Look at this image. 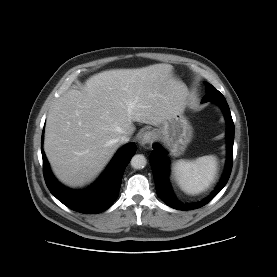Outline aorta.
<instances>
[{"label": "aorta", "mask_w": 277, "mask_h": 277, "mask_svg": "<svg viewBox=\"0 0 277 277\" xmlns=\"http://www.w3.org/2000/svg\"><path fill=\"white\" fill-rule=\"evenodd\" d=\"M130 163L134 169H143L146 166L147 160L144 155L137 154L132 157Z\"/></svg>", "instance_id": "obj_1"}]
</instances>
